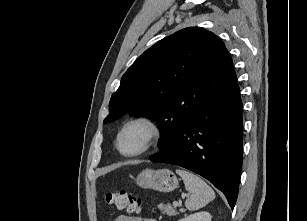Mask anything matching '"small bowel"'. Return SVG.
Wrapping results in <instances>:
<instances>
[{"mask_svg": "<svg viewBox=\"0 0 307 221\" xmlns=\"http://www.w3.org/2000/svg\"><path fill=\"white\" fill-rule=\"evenodd\" d=\"M116 221H157V220L147 219V218L141 217L139 215L122 214V215H119L117 217Z\"/></svg>", "mask_w": 307, "mask_h": 221, "instance_id": "c3829d8e", "label": "small bowel"}]
</instances>
